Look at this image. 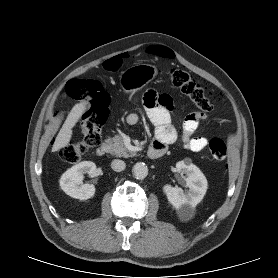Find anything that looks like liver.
Wrapping results in <instances>:
<instances>
[{
  "label": "liver",
  "mask_w": 278,
  "mask_h": 278,
  "mask_svg": "<svg viewBox=\"0 0 278 278\" xmlns=\"http://www.w3.org/2000/svg\"><path fill=\"white\" fill-rule=\"evenodd\" d=\"M86 108V101L78 103L72 108L55 139L52 147V152H56L68 145L72 137V128L84 114Z\"/></svg>",
  "instance_id": "liver-1"
}]
</instances>
